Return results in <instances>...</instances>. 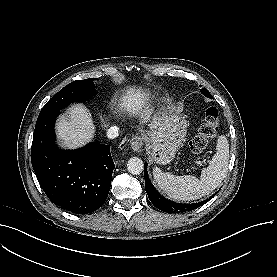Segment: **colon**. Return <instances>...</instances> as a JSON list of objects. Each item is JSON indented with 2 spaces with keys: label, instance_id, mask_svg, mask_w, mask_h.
I'll use <instances>...</instances> for the list:
<instances>
[{
  "label": "colon",
  "instance_id": "colon-1",
  "mask_svg": "<svg viewBox=\"0 0 277 277\" xmlns=\"http://www.w3.org/2000/svg\"><path fill=\"white\" fill-rule=\"evenodd\" d=\"M219 130V110L210 106L205 111V117L199 127L198 134L190 141V148L195 153H202Z\"/></svg>",
  "mask_w": 277,
  "mask_h": 277
}]
</instances>
